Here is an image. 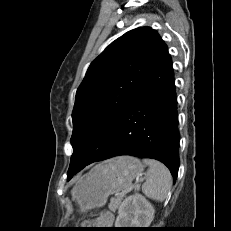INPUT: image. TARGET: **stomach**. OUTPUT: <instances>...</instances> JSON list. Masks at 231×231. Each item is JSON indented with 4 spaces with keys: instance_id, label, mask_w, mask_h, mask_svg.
<instances>
[{
    "instance_id": "1",
    "label": "stomach",
    "mask_w": 231,
    "mask_h": 231,
    "mask_svg": "<svg viewBox=\"0 0 231 231\" xmlns=\"http://www.w3.org/2000/svg\"><path fill=\"white\" fill-rule=\"evenodd\" d=\"M144 170L139 159L119 156L95 166L72 190L81 211L102 207L110 195L125 190Z\"/></svg>"
}]
</instances>
